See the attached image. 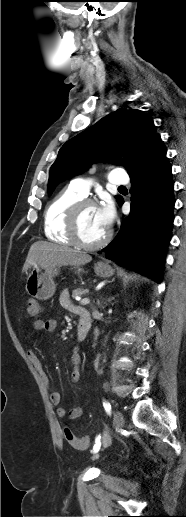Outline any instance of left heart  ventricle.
Returning <instances> with one entry per match:
<instances>
[{
	"mask_svg": "<svg viewBox=\"0 0 186 517\" xmlns=\"http://www.w3.org/2000/svg\"><path fill=\"white\" fill-rule=\"evenodd\" d=\"M80 235L86 242H95L102 238L107 232L98 217L96 206H86L80 216Z\"/></svg>",
	"mask_w": 186,
	"mask_h": 517,
	"instance_id": "1",
	"label": "left heart ventricle"
}]
</instances>
